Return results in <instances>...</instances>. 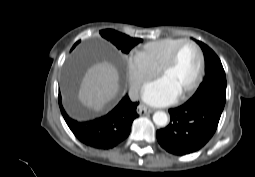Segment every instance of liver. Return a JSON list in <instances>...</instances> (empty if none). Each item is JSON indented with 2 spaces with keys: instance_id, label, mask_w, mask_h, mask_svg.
<instances>
[{
  "instance_id": "liver-1",
  "label": "liver",
  "mask_w": 255,
  "mask_h": 177,
  "mask_svg": "<svg viewBox=\"0 0 255 177\" xmlns=\"http://www.w3.org/2000/svg\"><path fill=\"white\" fill-rule=\"evenodd\" d=\"M118 81V71L113 64L107 61L96 63L85 73L78 99L86 108L100 111L118 94Z\"/></svg>"
}]
</instances>
